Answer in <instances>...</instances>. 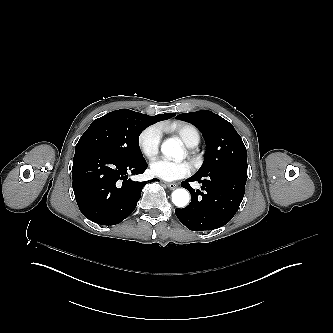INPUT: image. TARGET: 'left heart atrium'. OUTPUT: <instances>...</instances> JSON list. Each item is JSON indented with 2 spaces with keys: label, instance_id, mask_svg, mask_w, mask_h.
<instances>
[{
  "label": "left heart atrium",
  "instance_id": "obj_1",
  "mask_svg": "<svg viewBox=\"0 0 333 333\" xmlns=\"http://www.w3.org/2000/svg\"><path fill=\"white\" fill-rule=\"evenodd\" d=\"M153 175L167 181H175L188 177L193 172V166L188 161L170 162L159 160L151 168Z\"/></svg>",
  "mask_w": 333,
  "mask_h": 333
}]
</instances>
